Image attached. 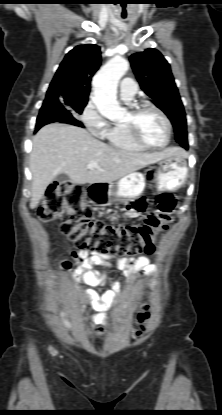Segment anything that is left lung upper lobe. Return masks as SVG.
Masks as SVG:
<instances>
[{"mask_svg": "<svg viewBox=\"0 0 222 415\" xmlns=\"http://www.w3.org/2000/svg\"><path fill=\"white\" fill-rule=\"evenodd\" d=\"M130 62L141 89L172 122L177 143H188L186 115L169 63L153 48L133 54Z\"/></svg>", "mask_w": 222, "mask_h": 415, "instance_id": "1", "label": "left lung upper lobe"}]
</instances>
